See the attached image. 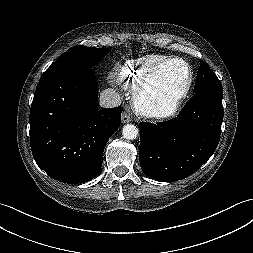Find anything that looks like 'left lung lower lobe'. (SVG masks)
Instances as JSON below:
<instances>
[{"label": "left lung lower lobe", "instance_id": "1", "mask_svg": "<svg viewBox=\"0 0 253 253\" xmlns=\"http://www.w3.org/2000/svg\"><path fill=\"white\" fill-rule=\"evenodd\" d=\"M222 98L223 92L200 91L176 118L157 124L141 122L139 160L145 175L172 182L196 172L219 143Z\"/></svg>", "mask_w": 253, "mask_h": 253}]
</instances>
